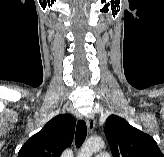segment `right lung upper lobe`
<instances>
[{
	"label": "right lung upper lobe",
	"mask_w": 164,
	"mask_h": 157,
	"mask_svg": "<svg viewBox=\"0 0 164 157\" xmlns=\"http://www.w3.org/2000/svg\"><path fill=\"white\" fill-rule=\"evenodd\" d=\"M75 123L68 114L52 118L22 146L17 157H60L73 140Z\"/></svg>",
	"instance_id": "1"
}]
</instances>
